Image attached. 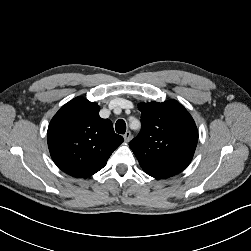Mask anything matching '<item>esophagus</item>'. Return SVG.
I'll list each match as a JSON object with an SVG mask.
<instances>
[{"label": "esophagus", "instance_id": "obj_1", "mask_svg": "<svg viewBox=\"0 0 251 251\" xmlns=\"http://www.w3.org/2000/svg\"><path fill=\"white\" fill-rule=\"evenodd\" d=\"M131 137H132V135H131V132H130V131H127V132L124 134V140H125L126 142H129V141L131 140Z\"/></svg>", "mask_w": 251, "mask_h": 251}]
</instances>
